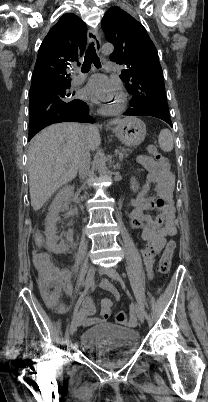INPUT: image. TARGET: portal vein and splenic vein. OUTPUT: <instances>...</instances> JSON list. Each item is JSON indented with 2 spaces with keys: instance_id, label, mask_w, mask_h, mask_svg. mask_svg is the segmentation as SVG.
I'll return each mask as SVG.
<instances>
[{
  "instance_id": "18ae733b",
  "label": "portal vein and splenic vein",
  "mask_w": 208,
  "mask_h": 402,
  "mask_svg": "<svg viewBox=\"0 0 208 402\" xmlns=\"http://www.w3.org/2000/svg\"><path fill=\"white\" fill-rule=\"evenodd\" d=\"M116 154H118L119 157H122V156H123V153H122V152H119V151H116Z\"/></svg>"
}]
</instances>
